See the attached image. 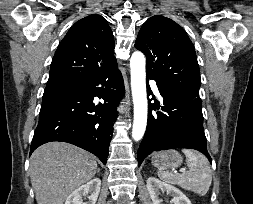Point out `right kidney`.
Returning a JSON list of instances; mask_svg holds the SVG:
<instances>
[{
	"label": "right kidney",
	"mask_w": 253,
	"mask_h": 204,
	"mask_svg": "<svg viewBox=\"0 0 253 204\" xmlns=\"http://www.w3.org/2000/svg\"><path fill=\"white\" fill-rule=\"evenodd\" d=\"M101 188L99 178H94L85 185L74 190L67 198L65 204H96ZM82 197H87L88 201L83 202Z\"/></svg>",
	"instance_id": "right-kidney-1"
}]
</instances>
